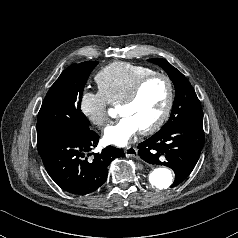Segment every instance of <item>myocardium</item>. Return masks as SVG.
<instances>
[{
  "instance_id": "obj_1",
  "label": "myocardium",
  "mask_w": 238,
  "mask_h": 238,
  "mask_svg": "<svg viewBox=\"0 0 238 238\" xmlns=\"http://www.w3.org/2000/svg\"><path fill=\"white\" fill-rule=\"evenodd\" d=\"M155 79H161L166 83L168 90V97L165 107L160 116L157 118V120L153 122L150 126L140 130V132L144 135L151 134L157 131L165 123L171 112L174 103V86L170 77L167 76L166 74L157 72L143 77L135 84L131 92L121 103V106L133 104L139 98L145 86Z\"/></svg>"
}]
</instances>
